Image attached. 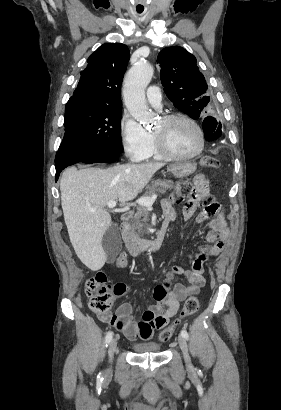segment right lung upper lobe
<instances>
[{
	"label": "right lung upper lobe",
	"instance_id": "1",
	"mask_svg": "<svg viewBox=\"0 0 281 410\" xmlns=\"http://www.w3.org/2000/svg\"><path fill=\"white\" fill-rule=\"evenodd\" d=\"M129 56V49L124 44L100 46L88 58V65L80 73L78 86L66 106L83 104L121 109L120 87Z\"/></svg>",
	"mask_w": 281,
	"mask_h": 410
}]
</instances>
